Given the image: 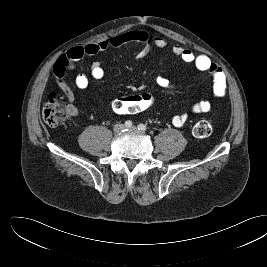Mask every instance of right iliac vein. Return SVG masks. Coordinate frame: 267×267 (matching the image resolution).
<instances>
[{"instance_id": "1", "label": "right iliac vein", "mask_w": 267, "mask_h": 267, "mask_svg": "<svg viewBox=\"0 0 267 267\" xmlns=\"http://www.w3.org/2000/svg\"><path fill=\"white\" fill-rule=\"evenodd\" d=\"M124 128L125 127H124L123 124L117 123V124L114 125L113 130H114V132L118 133V132H121Z\"/></svg>"}]
</instances>
